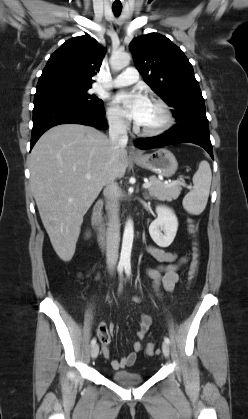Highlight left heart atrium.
<instances>
[{"label": "left heart atrium", "mask_w": 248, "mask_h": 419, "mask_svg": "<svg viewBox=\"0 0 248 419\" xmlns=\"http://www.w3.org/2000/svg\"><path fill=\"white\" fill-rule=\"evenodd\" d=\"M114 103L126 117L139 124L146 115L150 101L139 91H122L116 94Z\"/></svg>", "instance_id": "obj_1"}]
</instances>
